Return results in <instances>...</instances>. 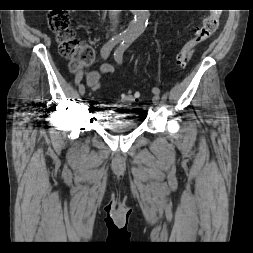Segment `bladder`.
Segmentation results:
<instances>
[{
    "label": "bladder",
    "instance_id": "bladder-1",
    "mask_svg": "<svg viewBox=\"0 0 253 253\" xmlns=\"http://www.w3.org/2000/svg\"><path fill=\"white\" fill-rule=\"evenodd\" d=\"M117 111H102L100 114L101 127L111 132H130L139 127L138 120L129 114L126 107H117Z\"/></svg>",
    "mask_w": 253,
    "mask_h": 253
}]
</instances>
